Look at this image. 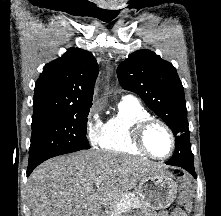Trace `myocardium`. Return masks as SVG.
<instances>
[{
	"instance_id": "1",
	"label": "myocardium",
	"mask_w": 221,
	"mask_h": 216,
	"mask_svg": "<svg viewBox=\"0 0 221 216\" xmlns=\"http://www.w3.org/2000/svg\"><path fill=\"white\" fill-rule=\"evenodd\" d=\"M154 126L162 127L167 132V134L170 138L171 149H170L169 153L164 156L156 155L147 146V143H146L147 133ZM133 141H134L135 146L143 154L150 156L152 158H155V159H160V160H163V159H166V158H169L170 156H172L175 151V148H176L175 136H174V133H173L172 129L170 128V126L166 122H164L163 120L158 119V118H154V117H151L145 121H142L141 123H139L136 126V128L134 129V133H133Z\"/></svg>"
}]
</instances>
